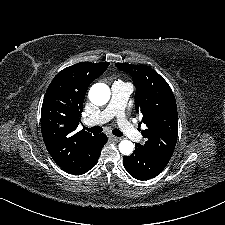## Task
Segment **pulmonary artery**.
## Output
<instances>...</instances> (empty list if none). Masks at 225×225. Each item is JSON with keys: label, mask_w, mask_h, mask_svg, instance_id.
<instances>
[{"label": "pulmonary artery", "mask_w": 225, "mask_h": 225, "mask_svg": "<svg viewBox=\"0 0 225 225\" xmlns=\"http://www.w3.org/2000/svg\"><path fill=\"white\" fill-rule=\"evenodd\" d=\"M133 87L130 83L117 81L112 85V96L107 107L93 118L85 120L88 126H94L106 123L112 117L117 116L122 130L135 141L142 140V135L133 127V125L124 118V108L126 102L132 93Z\"/></svg>", "instance_id": "e3ab8cb5"}]
</instances>
